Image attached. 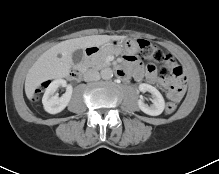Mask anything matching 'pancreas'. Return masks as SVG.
<instances>
[{
    "mask_svg": "<svg viewBox=\"0 0 219 174\" xmlns=\"http://www.w3.org/2000/svg\"><path fill=\"white\" fill-rule=\"evenodd\" d=\"M112 53L113 52L110 51L99 52L96 55L92 56L91 58L86 59L84 62V66L87 68L100 70L108 65V63L106 62V58L109 54Z\"/></svg>",
    "mask_w": 219,
    "mask_h": 174,
    "instance_id": "1",
    "label": "pancreas"
}]
</instances>
